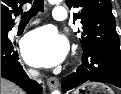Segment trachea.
<instances>
[{
    "mask_svg": "<svg viewBox=\"0 0 121 94\" xmlns=\"http://www.w3.org/2000/svg\"><path fill=\"white\" fill-rule=\"evenodd\" d=\"M44 11V0H34L30 10L21 15V22H28L37 15L38 12Z\"/></svg>",
    "mask_w": 121,
    "mask_h": 94,
    "instance_id": "3493384b",
    "label": "trachea"
}]
</instances>
